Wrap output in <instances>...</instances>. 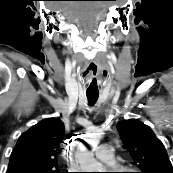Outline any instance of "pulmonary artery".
<instances>
[{
	"label": "pulmonary artery",
	"instance_id": "e3ab8cb5",
	"mask_svg": "<svg viewBox=\"0 0 173 173\" xmlns=\"http://www.w3.org/2000/svg\"><path fill=\"white\" fill-rule=\"evenodd\" d=\"M114 149L109 144L100 145L95 151V157L97 160L106 163L108 165L114 164L113 159Z\"/></svg>",
	"mask_w": 173,
	"mask_h": 173
}]
</instances>
